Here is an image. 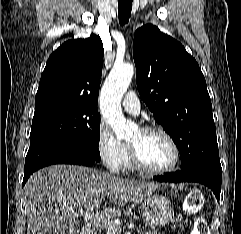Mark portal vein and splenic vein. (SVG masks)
Here are the masks:
<instances>
[{"instance_id":"1","label":"portal vein and splenic vein","mask_w":241,"mask_h":234,"mask_svg":"<svg viewBox=\"0 0 241 234\" xmlns=\"http://www.w3.org/2000/svg\"><path fill=\"white\" fill-rule=\"evenodd\" d=\"M99 207V204L94 206V209H97ZM84 219L90 220L93 223H96L99 226L105 227L108 230H117L120 229V227L113 221H111L109 218H107L102 213H88L86 212L84 214Z\"/></svg>"}]
</instances>
